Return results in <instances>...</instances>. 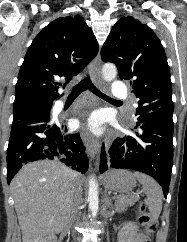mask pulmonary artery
Instances as JSON below:
<instances>
[{"label":"pulmonary artery","instance_id":"pulmonary-artery-1","mask_svg":"<svg viewBox=\"0 0 187 242\" xmlns=\"http://www.w3.org/2000/svg\"><path fill=\"white\" fill-rule=\"evenodd\" d=\"M112 94L118 99H123L127 96V88L122 82L116 81L113 83Z\"/></svg>","mask_w":187,"mask_h":242}]
</instances>
